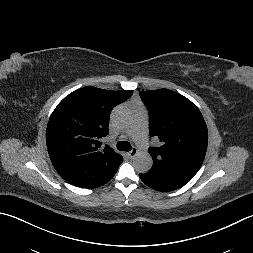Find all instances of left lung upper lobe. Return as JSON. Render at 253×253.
I'll return each mask as SVG.
<instances>
[{"mask_svg": "<svg viewBox=\"0 0 253 253\" xmlns=\"http://www.w3.org/2000/svg\"><path fill=\"white\" fill-rule=\"evenodd\" d=\"M149 111L152 147L150 173L190 181L200 169L207 150L208 131L203 116L189 99L168 89L140 92Z\"/></svg>", "mask_w": 253, "mask_h": 253, "instance_id": "left-lung-upper-lobe-1", "label": "left lung upper lobe"}]
</instances>
